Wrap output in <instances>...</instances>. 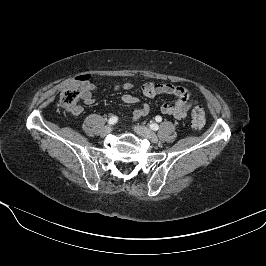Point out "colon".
I'll list each match as a JSON object with an SVG mask.
<instances>
[{
    "instance_id": "1",
    "label": "colon",
    "mask_w": 266,
    "mask_h": 266,
    "mask_svg": "<svg viewBox=\"0 0 266 266\" xmlns=\"http://www.w3.org/2000/svg\"><path fill=\"white\" fill-rule=\"evenodd\" d=\"M89 79L88 76L78 78L74 80L69 87L64 90L60 97V103L62 107L72 112L76 109L78 106V100L81 93V87L83 82L87 81ZM205 125V113L201 106L196 105L193 107L191 112V127L194 130H201Z\"/></svg>"
}]
</instances>
